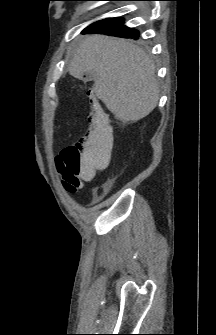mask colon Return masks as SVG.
Segmentation results:
<instances>
[{"mask_svg": "<svg viewBox=\"0 0 216 335\" xmlns=\"http://www.w3.org/2000/svg\"><path fill=\"white\" fill-rule=\"evenodd\" d=\"M88 128L82 140L63 149L56 162L62 183L74 193L82 178H101V172H110L113 164L112 127L100 105L93 102L87 117Z\"/></svg>", "mask_w": 216, "mask_h": 335, "instance_id": "obj_1", "label": "colon"}]
</instances>
